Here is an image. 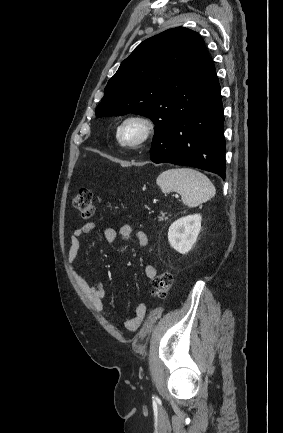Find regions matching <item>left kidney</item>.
<instances>
[{
    "mask_svg": "<svg viewBox=\"0 0 283 433\" xmlns=\"http://www.w3.org/2000/svg\"><path fill=\"white\" fill-rule=\"evenodd\" d=\"M200 214L182 217L171 224L168 231L170 246L181 254L188 253L201 230Z\"/></svg>",
    "mask_w": 283,
    "mask_h": 433,
    "instance_id": "1",
    "label": "left kidney"
}]
</instances>
